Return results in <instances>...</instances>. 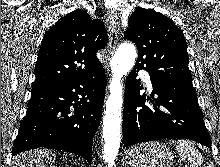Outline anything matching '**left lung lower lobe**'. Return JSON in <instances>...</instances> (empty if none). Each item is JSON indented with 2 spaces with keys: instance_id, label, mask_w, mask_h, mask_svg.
Returning <instances> with one entry per match:
<instances>
[{
  "instance_id": "left-lung-lower-lobe-1",
  "label": "left lung lower lobe",
  "mask_w": 220,
  "mask_h": 167,
  "mask_svg": "<svg viewBox=\"0 0 220 167\" xmlns=\"http://www.w3.org/2000/svg\"><path fill=\"white\" fill-rule=\"evenodd\" d=\"M134 67L125 84L124 146L163 138L194 140L211 149V140L192 83L150 76L151 98L140 95L143 87ZM156 95V98H154ZM150 100L153 106L145 105Z\"/></svg>"
}]
</instances>
